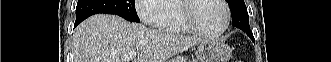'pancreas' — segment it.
<instances>
[{"label":"pancreas","instance_id":"cf45deb5","mask_svg":"<svg viewBox=\"0 0 331 62\" xmlns=\"http://www.w3.org/2000/svg\"><path fill=\"white\" fill-rule=\"evenodd\" d=\"M169 62H186L185 58L177 57L173 58L172 60H169Z\"/></svg>","mask_w":331,"mask_h":62}]
</instances>
